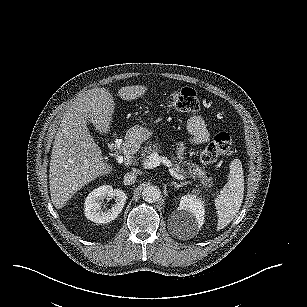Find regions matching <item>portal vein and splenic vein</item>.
Here are the masks:
<instances>
[{
    "label": "portal vein and splenic vein",
    "mask_w": 307,
    "mask_h": 307,
    "mask_svg": "<svg viewBox=\"0 0 307 307\" xmlns=\"http://www.w3.org/2000/svg\"><path fill=\"white\" fill-rule=\"evenodd\" d=\"M161 163L169 167L170 174L176 178L183 177L182 175L178 174V167L172 168V163L166 157L160 156L157 152L151 153L147 159L143 162V166L145 169H153L159 166Z\"/></svg>",
    "instance_id": "1"
}]
</instances>
